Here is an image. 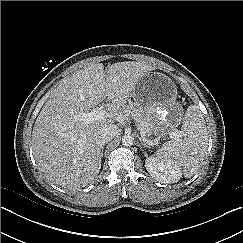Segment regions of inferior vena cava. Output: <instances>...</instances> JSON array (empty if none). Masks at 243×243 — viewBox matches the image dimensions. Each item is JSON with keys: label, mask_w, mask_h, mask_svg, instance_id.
Returning <instances> with one entry per match:
<instances>
[{"label": "inferior vena cava", "mask_w": 243, "mask_h": 243, "mask_svg": "<svg viewBox=\"0 0 243 243\" xmlns=\"http://www.w3.org/2000/svg\"><path fill=\"white\" fill-rule=\"evenodd\" d=\"M120 132V129L114 125V124H110L104 128H102L101 130V135H100V139L102 141L103 144L111 141L115 136H117Z\"/></svg>", "instance_id": "obj_1"}]
</instances>
